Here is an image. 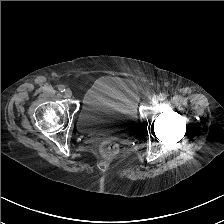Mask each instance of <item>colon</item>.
Listing matches in <instances>:
<instances>
[{
    "mask_svg": "<svg viewBox=\"0 0 224 224\" xmlns=\"http://www.w3.org/2000/svg\"><path fill=\"white\" fill-rule=\"evenodd\" d=\"M101 151L107 156H112L117 153L118 146L114 142H105L101 145Z\"/></svg>",
    "mask_w": 224,
    "mask_h": 224,
    "instance_id": "obj_1",
    "label": "colon"
}]
</instances>
